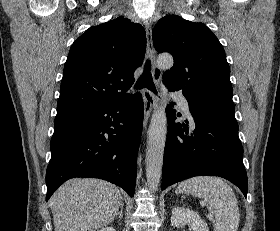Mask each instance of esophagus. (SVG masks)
<instances>
[{
    "label": "esophagus",
    "instance_id": "1",
    "mask_svg": "<svg viewBox=\"0 0 280 231\" xmlns=\"http://www.w3.org/2000/svg\"><path fill=\"white\" fill-rule=\"evenodd\" d=\"M145 30H146V37H147V53L151 61L152 65V77L154 80V83L156 85H159L161 77H162V71L159 66L156 65L155 61V50L153 47L152 42V25L149 20L145 23ZM143 99H144V128H147L149 118L153 112L154 107L157 104V99L154 93L152 91L145 88L143 90Z\"/></svg>",
    "mask_w": 280,
    "mask_h": 231
}]
</instances>
